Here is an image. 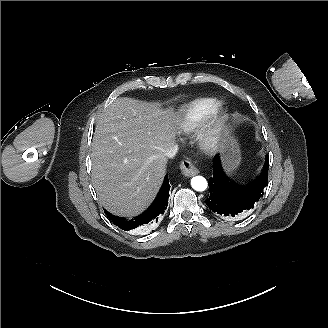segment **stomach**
I'll return each instance as SVG.
<instances>
[{"mask_svg": "<svg viewBox=\"0 0 328 328\" xmlns=\"http://www.w3.org/2000/svg\"><path fill=\"white\" fill-rule=\"evenodd\" d=\"M215 137L223 169L227 175H231L238 168L242 159L238 140L227 126H222Z\"/></svg>", "mask_w": 328, "mask_h": 328, "instance_id": "0dacf381", "label": "stomach"}]
</instances>
